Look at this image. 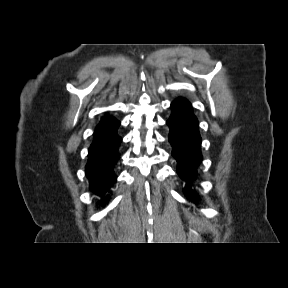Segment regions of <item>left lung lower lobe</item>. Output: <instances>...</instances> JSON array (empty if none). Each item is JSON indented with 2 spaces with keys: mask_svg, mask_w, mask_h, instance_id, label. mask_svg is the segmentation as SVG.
Here are the masks:
<instances>
[{
  "mask_svg": "<svg viewBox=\"0 0 288 288\" xmlns=\"http://www.w3.org/2000/svg\"><path fill=\"white\" fill-rule=\"evenodd\" d=\"M171 110L166 123L170 128L168 139L173 147L172 156L177 161L178 175L187 184L184 193L189 199L194 200L196 192L191 186L202 161L198 120L193 113L191 103L182 97L171 103Z\"/></svg>",
  "mask_w": 288,
  "mask_h": 288,
  "instance_id": "obj_1",
  "label": "left lung lower lobe"
}]
</instances>
